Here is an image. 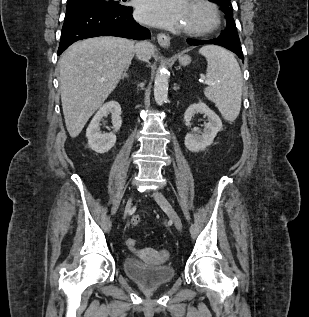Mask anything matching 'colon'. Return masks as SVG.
Segmentation results:
<instances>
[{"instance_id": "1", "label": "colon", "mask_w": 309, "mask_h": 317, "mask_svg": "<svg viewBox=\"0 0 309 317\" xmlns=\"http://www.w3.org/2000/svg\"><path fill=\"white\" fill-rule=\"evenodd\" d=\"M139 223H140V217L138 215H134L131 218V224L133 226H137ZM126 243H127L128 247H130V248H134L136 246V240L133 238H129ZM163 254L166 255L165 253H163Z\"/></svg>"}]
</instances>
